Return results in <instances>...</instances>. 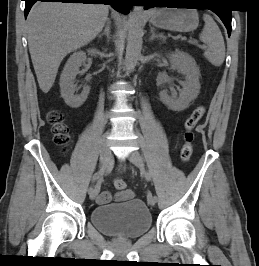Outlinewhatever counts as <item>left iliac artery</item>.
<instances>
[{
	"label": "left iliac artery",
	"instance_id": "44dca946",
	"mask_svg": "<svg viewBox=\"0 0 259 266\" xmlns=\"http://www.w3.org/2000/svg\"><path fill=\"white\" fill-rule=\"evenodd\" d=\"M146 179H147V180H150V179H151V175H150V173H147V174H146ZM154 199H155V202H158L157 196H154Z\"/></svg>",
	"mask_w": 259,
	"mask_h": 266
}]
</instances>
